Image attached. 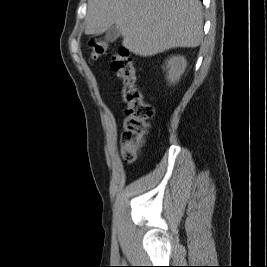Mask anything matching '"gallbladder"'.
I'll use <instances>...</instances> for the list:
<instances>
[{
    "instance_id": "1",
    "label": "gallbladder",
    "mask_w": 267,
    "mask_h": 267,
    "mask_svg": "<svg viewBox=\"0 0 267 267\" xmlns=\"http://www.w3.org/2000/svg\"><path fill=\"white\" fill-rule=\"evenodd\" d=\"M121 35L120 29L116 25H112L106 31L105 40L108 42H114Z\"/></svg>"
}]
</instances>
